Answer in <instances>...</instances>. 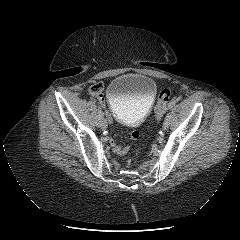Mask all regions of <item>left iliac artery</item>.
Wrapping results in <instances>:
<instances>
[{"instance_id":"1","label":"left iliac artery","mask_w":240,"mask_h":240,"mask_svg":"<svg viewBox=\"0 0 240 240\" xmlns=\"http://www.w3.org/2000/svg\"><path fill=\"white\" fill-rule=\"evenodd\" d=\"M176 104V100H171L170 103L168 104L169 109L173 108Z\"/></svg>"}]
</instances>
